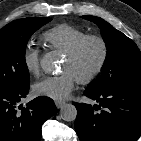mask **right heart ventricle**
I'll list each match as a JSON object with an SVG mask.
<instances>
[{
  "label": "right heart ventricle",
  "mask_w": 141,
  "mask_h": 141,
  "mask_svg": "<svg viewBox=\"0 0 141 141\" xmlns=\"http://www.w3.org/2000/svg\"><path fill=\"white\" fill-rule=\"evenodd\" d=\"M85 35L77 26L60 24L45 31L42 40L46 46L66 53Z\"/></svg>",
  "instance_id": "right-heart-ventricle-1"
}]
</instances>
